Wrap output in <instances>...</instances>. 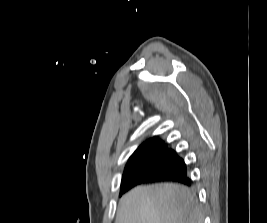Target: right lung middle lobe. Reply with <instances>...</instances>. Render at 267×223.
Here are the masks:
<instances>
[{
  "label": "right lung middle lobe",
  "mask_w": 267,
  "mask_h": 223,
  "mask_svg": "<svg viewBox=\"0 0 267 223\" xmlns=\"http://www.w3.org/2000/svg\"><path fill=\"white\" fill-rule=\"evenodd\" d=\"M182 162L176 152L172 149L159 152L153 158L131 164L125 168L124 175H131L139 171L168 173Z\"/></svg>",
  "instance_id": "right-lung-middle-lobe-1"
}]
</instances>
